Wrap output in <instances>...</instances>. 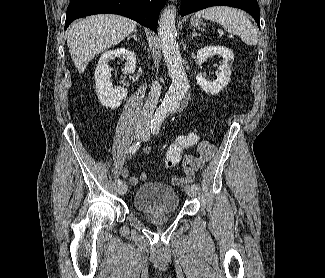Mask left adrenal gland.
I'll return each mask as SVG.
<instances>
[{"instance_id": "obj_1", "label": "left adrenal gland", "mask_w": 325, "mask_h": 278, "mask_svg": "<svg viewBox=\"0 0 325 278\" xmlns=\"http://www.w3.org/2000/svg\"><path fill=\"white\" fill-rule=\"evenodd\" d=\"M198 35L200 36L201 34L200 33H196L195 29H193L191 38H193L195 36H198Z\"/></svg>"}]
</instances>
